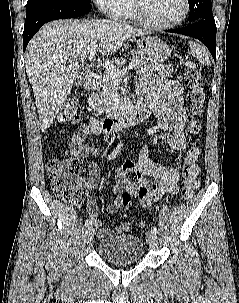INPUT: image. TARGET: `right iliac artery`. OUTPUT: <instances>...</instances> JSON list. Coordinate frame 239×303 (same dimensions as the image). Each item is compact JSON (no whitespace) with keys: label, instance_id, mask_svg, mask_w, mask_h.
Wrapping results in <instances>:
<instances>
[{"label":"right iliac artery","instance_id":"82829eb1","mask_svg":"<svg viewBox=\"0 0 239 303\" xmlns=\"http://www.w3.org/2000/svg\"><path fill=\"white\" fill-rule=\"evenodd\" d=\"M121 145L122 144H119L114 150L113 152L108 156V159L111 160V159H114L118 153L120 152V149H121ZM90 225H92V221L90 219H87L86 222H85V226L86 227H89Z\"/></svg>","mask_w":239,"mask_h":303}]
</instances>
